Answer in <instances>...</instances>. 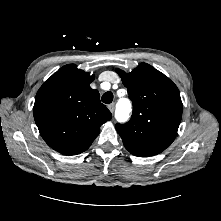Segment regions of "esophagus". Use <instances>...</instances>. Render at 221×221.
Wrapping results in <instances>:
<instances>
[{"mask_svg":"<svg viewBox=\"0 0 221 221\" xmlns=\"http://www.w3.org/2000/svg\"><path fill=\"white\" fill-rule=\"evenodd\" d=\"M108 109L110 110V112H114V110H115V104L114 103H111V104H109L108 105Z\"/></svg>","mask_w":221,"mask_h":221,"instance_id":"obj_1","label":"esophagus"}]
</instances>
